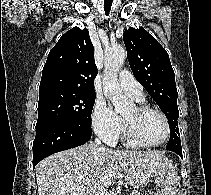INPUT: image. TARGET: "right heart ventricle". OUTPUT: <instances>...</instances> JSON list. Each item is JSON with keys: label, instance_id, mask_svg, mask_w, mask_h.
<instances>
[{"label": "right heart ventricle", "instance_id": "1", "mask_svg": "<svg viewBox=\"0 0 211 195\" xmlns=\"http://www.w3.org/2000/svg\"><path fill=\"white\" fill-rule=\"evenodd\" d=\"M121 133H122L121 134L122 140L127 147H132V148L139 147L137 144H135L132 140L129 139V137L126 135L123 127H122V130H121Z\"/></svg>", "mask_w": 211, "mask_h": 195}]
</instances>
